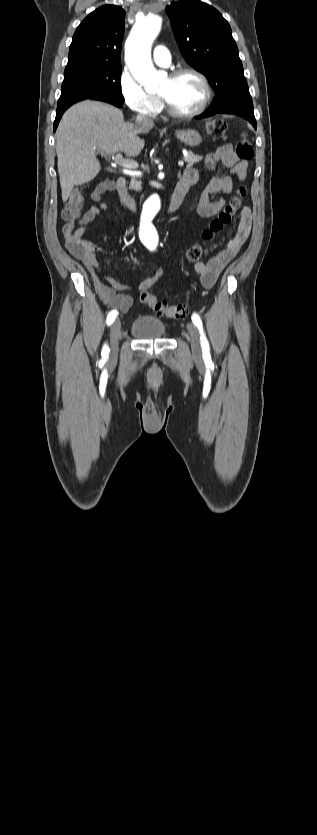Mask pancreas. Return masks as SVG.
I'll list each match as a JSON object with an SVG mask.
<instances>
[{"label": "pancreas", "mask_w": 317, "mask_h": 835, "mask_svg": "<svg viewBox=\"0 0 317 835\" xmlns=\"http://www.w3.org/2000/svg\"><path fill=\"white\" fill-rule=\"evenodd\" d=\"M202 158L203 157L201 155H196L192 152H188V154L184 157V160L188 163L189 166H192L193 164L200 162ZM140 184L141 183L139 181H136L134 179L131 182L132 188L135 189H140Z\"/></svg>", "instance_id": "obj_1"}]
</instances>
